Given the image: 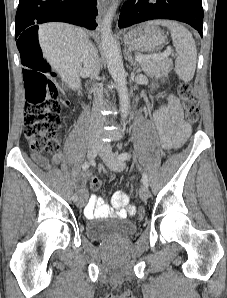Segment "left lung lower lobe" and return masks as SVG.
<instances>
[{
    "label": "left lung lower lobe",
    "instance_id": "0a47b994",
    "mask_svg": "<svg viewBox=\"0 0 227 298\" xmlns=\"http://www.w3.org/2000/svg\"><path fill=\"white\" fill-rule=\"evenodd\" d=\"M149 0L127 1L119 17L118 26L128 27L136 23L153 19H171L185 22L198 30L202 37L203 8L201 0H157L150 4Z\"/></svg>",
    "mask_w": 227,
    "mask_h": 298
}]
</instances>
